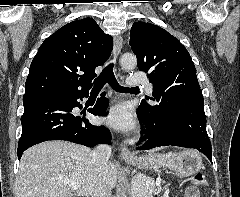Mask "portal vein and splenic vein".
<instances>
[{"label": "portal vein and splenic vein", "mask_w": 240, "mask_h": 197, "mask_svg": "<svg viewBox=\"0 0 240 197\" xmlns=\"http://www.w3.org/2000/svg\"><path fill=\"white\" fill-rule=\"evenodd\" d=\"M65 183L69 184V186L74 190H76L80 187V185L78 183H73V182H69V181H65Z\"/></svg>", "instance_id": "18ae733b"}]
</instances>
